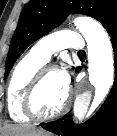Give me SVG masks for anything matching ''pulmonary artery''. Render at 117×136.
<instances>
[{
	"label": "pulmonary artery",
	"mask_w": 117,
	"mask_h": 136,
	"mask_svg": "<svg viewBox=\"0 0 117 136\" xmlns=\"http://www.w3.org/2000/svg\"><path fill=\"white\" fill-rule=\"evenodd\" d=\"M84 42L82 36L72 30H62L51 33L38 40L31 48V52L44 62H48L51 56L62 49L72 48L82 50Z\"/></svg>",
	"instance_id": "pulmonary-artery-1"
}]
</instances>
